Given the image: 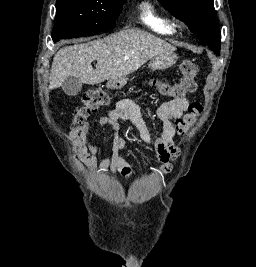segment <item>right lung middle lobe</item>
I'll return each mask as SVG.
<instances>
[{"mask_svg": "<svg viewBox=\"0 0 256 267\" xmlns=\"http://www.w3.org/2000/svg\"><path fill=\"white\" fill-rule=\"evenodd\" d=\"M125 0H57L54 42L89 36L115 27Z\"/></svg>", "mask_w": 256, "mask_h": 267, "instance_id": "right-lung-middle-lobe-1", "label": "right lung middle lobe"}]
</instances>
